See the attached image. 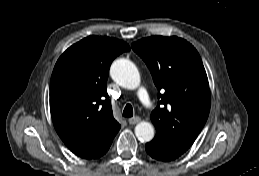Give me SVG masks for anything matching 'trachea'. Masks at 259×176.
Returning <instances> with one entry per match:
<instances>
[{
    "label": "trachea",
    "mask_w": 259,
    "mask_h": 176,
    "mask_svg": "<svg viewBox=\"0 0 259 176\" xmlns=\"http://www.w3.org/2000/svg\"><path fill=\"white\" fill-rule=\"evenodd\" d=\"M124 117H132L133 116V108L131 104H127L123 110Z\"/></svg>",
    "instance_id": "3493384b"
}]
</instances>
